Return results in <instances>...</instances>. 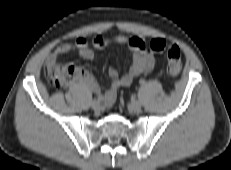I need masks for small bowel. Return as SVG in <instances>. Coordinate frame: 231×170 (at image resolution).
<instances>
[{"label": "small bowel", "instance_id": "c3829d8e", "mask_svg": "<svg viewBox=\"0 0 231 170\" xmlns=\"http://www.w3.org/2000/svg\"><path fill=\"white\" fill-rule=\"evenodd\" d=\"M112 43L126 46L132 55V63L128 71L120 75L115 68H109L108 75L110 77L109 87L102 88L95 77L85 72L84 76L78 81L85 85L90 91L103 97L106 105H112L116 98V91L119 87L129 86L134 79L143 73L150 72L156 66V59L153 52L147 48L146 42L140 37H127L117 35L112 38H105L102 35H96L92 39L94 49H102ZM89 47L88 42L83 37H78L74 44H61L46 59V65H52L57 60L69 53H75L85 60H95V50Z\"/></svg>", "mask_w": 231, "mask_h": 170}]
</instances>
